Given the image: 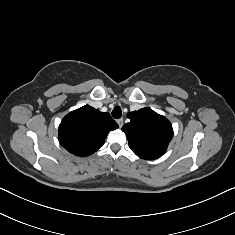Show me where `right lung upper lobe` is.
Segmentation results:
<instances>
[{
	"label": "right lung upper lobe",
	"instance_id": "1",
	"mask_svg": "<svg viewBox=\"0 0 235 235\" xmlns=\"http://www.w3.org/2000/svg\"><path fill=\"white\" fill-rule=\"evenodd\" d=\"M118 124L109 113L85 105L66 115L59 126V142L76 156H88L104 144L109 131Z\"/></svg>",
	"mask_w": 235,
	"mask_h": 235
}]
</instances>
